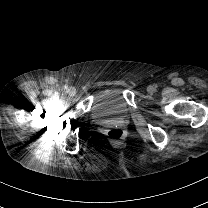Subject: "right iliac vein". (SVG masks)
Masks as SVG:
<instances>
[{
  "mask_svg": "<svg viewBox=\"0 0 208 208\" xmlns=\"http://www.w3.org/2000/svg\"><path fill=\"white\" fill-rule=\"evenodd\" d=\"M68 93L71 97H73L76 94V89L74 87H70Z\"/></svg>",
  "mask_w": 208,
  "mask_h": 208,
  "instance_id": "right-iliac-vein-1",
  "label": "right iliac vein"
}]
</instances>
